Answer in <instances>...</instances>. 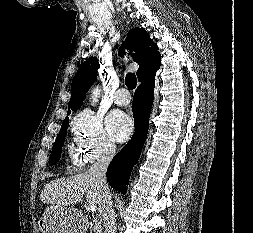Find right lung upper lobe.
I'll return each mask as SVG.
<instances>
[{
    "mask_svg": "<svg viewBox=\"0 0 253 233\" xmlns=\"http://www.w3.org/2000/svg\"><path fill=\"white\" fill-rule=\"evenodd\" d=\"M124 47L130 50L129 54L139 64L137 70L138 80H141L150 72L158 70L161 55L157 51V44L150 39L149 34L143 28H135L128 32L125 43L120 48V55L122 56L124 54ZM132 52L135 53L132 54ZM99 67L98 59L90 57L81 65L75 74L71 85V99L68 105V114L71 110L75 111L81 107L86 92L96 80Z\"/></svg>",
    "mask_w": 253,
    "mask_h": 233,
    "instance_id": "cb5924a9",
    "label": "right lung upper lobe"
}]
</instances>
